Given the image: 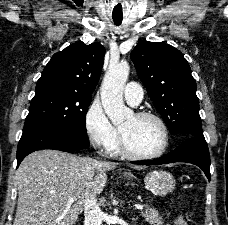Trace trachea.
Wrapping results in <instances>:
<instances>
[{"label":"trachea","mask_w":228,"mask_h":225,"mask_svg":"<svg viewBox=\"0 0 228 225\" xmlns=\"http://www.w3.org/2000/svg\"><path fill=\"white\" fill-rule=\"evenodd\" d=\"M113 20L116 25H120L122 23V19H113Z\"/></svg>","instance_id":"1"}]
</instances>
